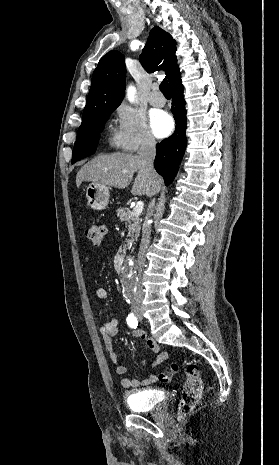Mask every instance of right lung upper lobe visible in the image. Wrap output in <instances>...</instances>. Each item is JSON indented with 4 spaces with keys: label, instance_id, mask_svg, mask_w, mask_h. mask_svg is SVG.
I'll list each match as a JSON object with an SVG mask.
<instances>
[{
    "label": "right lung upper lobe",
    "instance_id": "right-lung-upper-lobe-1",
    "mask_svg": "<svg viewBox=\"0 0 279 465\" xmlns=\"http://www.w3.org/2000/svg\"><path fill=\"white\" fill-rule=\"evenodd\" d=\"M175 51V40L169 33L156 26L150 31L139 58L148 72L164 70L170 88L181 80ZM125 78L124 56L119 51H110L101 58L93 72L81 126L92 121L102 111L119 106L124 97Z\"/></svg>",
    "mask_w": 279,
    "mask_h": 465
}]
</instances>
